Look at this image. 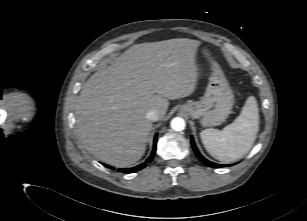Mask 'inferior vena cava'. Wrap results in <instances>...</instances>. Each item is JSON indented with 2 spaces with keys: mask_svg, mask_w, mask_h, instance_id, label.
I'll list each match as a JSON object with an SVG mask.
<instances>
[{
  "mask_svg": "<svg viewBox=\"0 0 307 221\" xmlns=\"http://www.w3.org/2000/svg\"><path fill=\"white\" fill-rule=\"evenodd\" d=\"M147 119L150 121H157L159 120V112L156 109H151L147 115H146Z\"/></svg>",
  "mask_w": 307,
  "mask_h": 221,
  "instance_id": "obj_1",
  "label": "inferior vena cava"
}]
</instances>
